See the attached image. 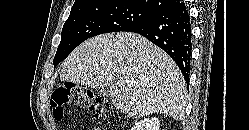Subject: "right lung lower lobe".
Segmentation results:
<instances>
[{
    "label": "right lung lower lobe",
    "mask_w": 249,
    "mask_h": 130,
    "mask_svg": "<svg viewBox=\"0 0 249 130\" xmlns=\"http://www.w3.org/2000/svg\"><path fill=\"white\" fill-rule=\"evenodd\" d=\"M124 31L138 33L163 49L176 62L186 83H189L192 32L184 3L177 1L154 17Z\"/></svg>",
    "instance_id": "obj_1"
}]
</instances>
